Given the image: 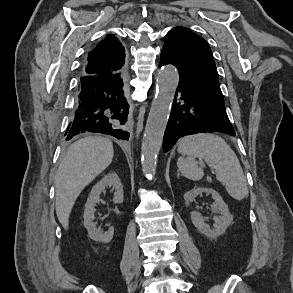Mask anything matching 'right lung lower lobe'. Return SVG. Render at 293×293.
I'll return each instance as SVG.
<instances>
[{"label":"right lung lower lobe","instance_id":"98d812e1","mask_svg":"<svg viewBox=\"0 0 293 293\" xmlns=\"http://www.w3.org/2000/svg\"><path fill=\"white\" fill-rule=\"evenodd\" d=\"M66 140L84 132H100L128 140L125 130L129 105L123 74L84 76Z\"/></svg>","mask_w":293,"mask_h":293}]
</instances>
